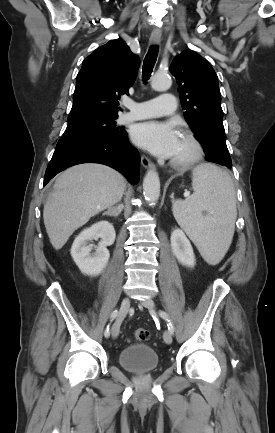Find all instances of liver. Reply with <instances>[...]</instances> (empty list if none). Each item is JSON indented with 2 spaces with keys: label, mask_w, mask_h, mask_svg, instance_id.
<instances>
[{
  "label": "liver",
  "mask_w": 275,
  "mask_h": 433,
  "mask_svg": "<svg viewBox=\"0 0 275 433\" xmlns=\"http://www.w3.org/2000/svg\"><path fill=\"white\" fill-rule=\"evenodd\" d=\"M125 188L126 180L119 172L97 163L75 165L60 174L43 210L54 249H61L91 217L119 202Z\"/></svg>",
  "instance_id": "1"
}]
</instances>
